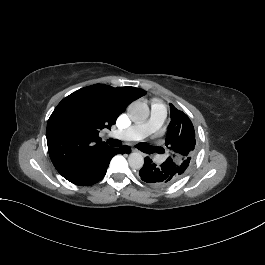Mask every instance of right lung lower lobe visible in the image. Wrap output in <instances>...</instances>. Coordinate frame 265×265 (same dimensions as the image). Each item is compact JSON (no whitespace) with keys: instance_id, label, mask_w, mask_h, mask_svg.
Returning <instances> with one entry per match:
<instances>
[{"instance_id":"right-lung-lower-lobe-1","label":"right lung lower lobe","mask_w":265,"mask_h":265,"mask_svg":"<svg viewBox=\"0 0 265 265\" xmlns=\"http://www.w3.org/2000/svg\"><path fill=\"white\" fill-rule=\"evenodd\" d=\"M130 152L131 148L126 145L121 148L109 147L91 158L77 173L66 179L76 185H93L105 176L109 162L114 155Z\"/></svg>"}]
</instances>
